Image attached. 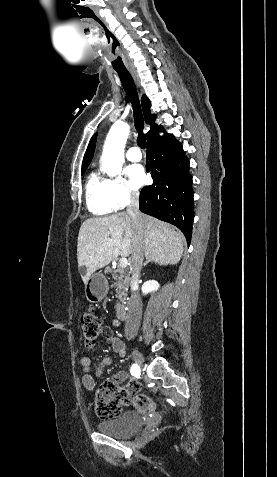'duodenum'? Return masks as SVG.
Here are the masks:
<instances>
[{"instance_id":"duodenum-1","label":"duodenum","mask_w":277,"mask_h":477,"mask_svg":"<svg viewBox=\"0 0 277 477\" xmlns=\"http://www.w3.org/2000/svg\"><path fill=\"white\" fill-rule=\"evenodd\" d=\"M116 316L121 321H123L127 318V313H126V310H125L124 306L118 305L116 307Z\"/></svg>"}]
</instances>
